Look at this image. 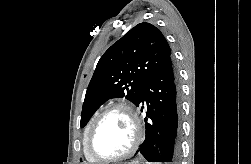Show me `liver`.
Here are the masks:
<instances>
[{
	"instance_id": "1",
	"label": "liver",
	"mask_w": 251,
	"mask_h": 164,
	"mask_svg": "<svg viewBox=\"0 0 251 164\" xmlns=\"http://www.w3.org/2000/svg\"><path fill=\"white\" fill-rule=\"evenodd\" d=\"M134 163V161L133 162H130V163H128V164H133Z\"/></svg>"
}]
</instances>
